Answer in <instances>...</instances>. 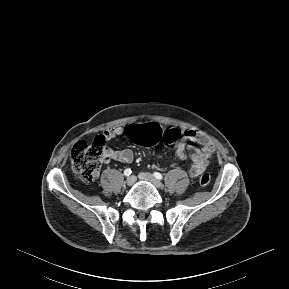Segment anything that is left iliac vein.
<instances>
[{
	"instance_id": "left-iliac-vein-1",
	"label": "left iliac vein",
	"mask_w": 289,
	"mask_h": 289,
	"mask_svg": "<svg viewBox=\"0 0 289 289\" xmlns=\"http://www.w3.org/2000/svg\"><path fill=\"white\" fill-rule=\"evenodd\" d=\"M138 177H139L140 180L148 181V182L152 183L158 189L162 188L161 182L159 180H157L150 173H145V172L139 173Z\"/></svg>"
}]
</instances>
